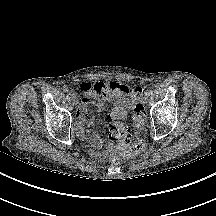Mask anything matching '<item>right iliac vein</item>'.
I'll return each mask as SVG.
<instances>
[{
    "mask_svg": "<svg viewBox=\"0 0 216 216\" xmlns=\"http://www.w3.org/2000/svg\"><path fill=\"white\" fill-rule=\"evenodd\" d=\"M73 103H74L75 105L78 104V99H77L76 97L73 98Z\"/></svg>",
    "mask_w": 216,
    "mask_h": 216,
    "instance_id": "obj_1",
    "label": "right iliac vein"
}]
</instances>
